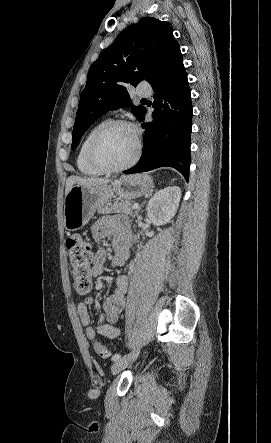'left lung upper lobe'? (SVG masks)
Segmentation results:
<instances>
[{
  "label": "left lung upper lobe",
  "instance_id": "1",
  "mask_svg": "<svg viewBox=\"0 0 271 443\" xmlns=\"http://www.w3.org/2000/svg\"><path fill=\"white\" fill-rule=\"evenodd\" d=\"M179 44L170 25L153 17L142 18L125 29L91 65L81 93L73 128L72 150L84 132L109 110L132 105L127 85L148 79ZM142 106H133L140 118Z\"/></svg>",
  "mask_w": 271,
  "mask_h": 443
}]
</instances>
